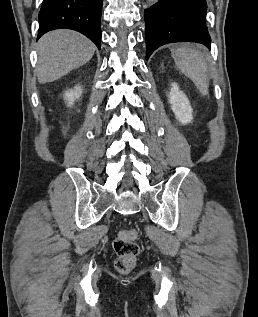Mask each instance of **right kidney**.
Masks as SVG:
<instances>
[{"label": "right kidney", "mask_w": 258, "mask_h": 317, "mask_svg": "<svg viewBox=\"0 0 258 317\" xmlns=\"http://www.w3.org/2000/svg\"><path fill=\"white\" fill-rule=\"evenodd\" d=\"M81 94H82L81 86H74V88H69V90H66L65 100H67L68 106H71V104H74L76 98H79Z\"/></svg>", "instance_id": "obj_1"}]
</instances>
